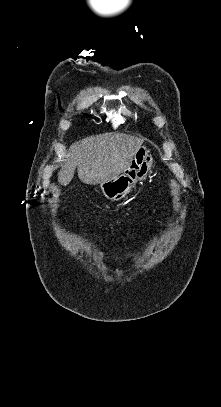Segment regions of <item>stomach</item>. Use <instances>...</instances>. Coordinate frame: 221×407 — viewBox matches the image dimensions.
<instances>
[{
	"label": "stomach",
	"mask_w": 221,
	"mask_h": 407,
	"mask_svg": "<svg viewBox=\"0 0 221 407\" xmlns=\"http://www.w3.org/2000/svg\"><path fill=\"white\" fill-rule=\"evenodd\" d=\"M152 166L151 151L144 146L140 147L120 175L99 184L102 194L111 201L125 198L138 181L147 178Z\"/></svg>",
	"instance_id": "stomach-1"
}]
</instances>
